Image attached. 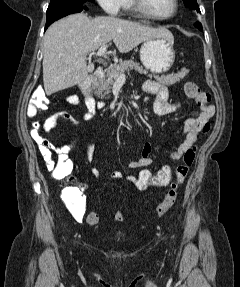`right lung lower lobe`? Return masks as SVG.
Returning <instances> with one entry per match:
<instances>
[{
  "mask_svg": "<svg viewBox=\"0 0 240 287\" xmlns=\"http://www.w3.org/2000/svg\"><path fill=\"white\" fill-rule=\"evenodd\" d=\"M87 10V6L86 5H80V6H73V7H68V8H63V9H58L55 10L53 12H51L50 14L47 15V21H46V26H45V30L48 28V26H50L54 21L67 16L69 14H73V13H79L83 10Z\"/></svg>",
  "mask_w": 240,
  "mask_h": 287,
  "instance_id": "1",
  "label": "right lung lower lobe"
}]
</instances>
